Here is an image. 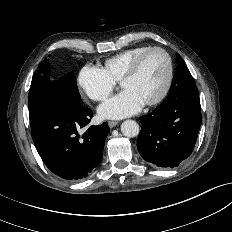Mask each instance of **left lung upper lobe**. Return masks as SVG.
Masks as SVG:
<instances>
[{
    "mask_svg": "<svg viewBox=\"0 0 232 232\" xmlns=\"http://www.w3.org/2000/svg\"><path fill=\"white\" fill-rule=\"evenodd\" d=\"M177 70L170 92L174 94L198 95V89L190 71L179 54L176 55Z\"/></svg>",
    "mask_w": 232,
    "mask_h": 232,
    "instance_id": "5c2ea615",
    "label": "left lung upper lobe"
}]
</instances>
